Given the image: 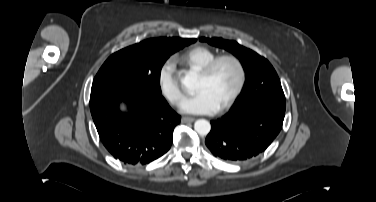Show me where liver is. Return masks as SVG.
Masks as SVG:
<instances>
[{
  "label": "liver",
  "instance_id": "liver-1",
  "mask_svg": "<svg viewBox=\"0 0 376 202\" xmlns=\"http://www.w3.org/2000/svg\"><path fill=\"white\" fill-rule=\"evenodd\" d=\"M124 108H125V107H124V106H122V107H121V110H123Z\"/></svg>",
  "mask_w": 376,
  "mask_h": 202
}]
</instances>
